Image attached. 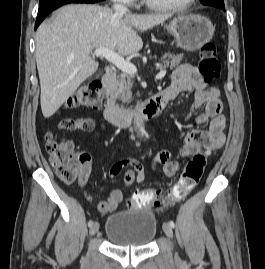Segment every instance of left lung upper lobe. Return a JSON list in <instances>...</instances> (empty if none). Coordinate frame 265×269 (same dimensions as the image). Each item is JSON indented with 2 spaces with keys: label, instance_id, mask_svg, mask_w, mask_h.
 <instances>
[{
  "label": "left lung upper lobe",
  "instance_id": "obj_1",
  "mask_svg": "<svg viewBox=\"0 0 265 269\" xmlns=\"http://www.w3.org/2000/svg\"><path fill=\"white\" fill-rule=\"evenodd\" d=\"M201 3L203 5H207L209 3H217V4L224 5V0H201Z\"/></svg>",
  "mask_w": 265,
  "mask_h": 269
}]
</instances>
